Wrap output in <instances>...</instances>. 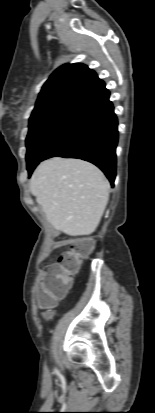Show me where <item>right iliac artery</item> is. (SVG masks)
<instances>
[{"instance_id": "obj_1", "label": "right iliac artery", "mask_w": 155, "mask_h": 413, "mask_svg": "<svg viewBox=\"0 0 155 413\" xmlns=\"http://www.w3.org/2000/svg\"><path fill=\"white\" fill-rule=\"evenodd\" d=\"M55 372L58 374V371H57V370H55Z\"/></svg>"}]
</instances>
